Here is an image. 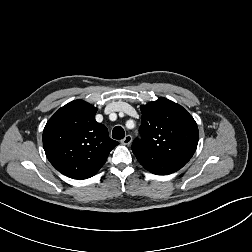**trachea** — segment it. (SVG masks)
<instances>
[{
    "mask_svg": "<svg viewBox=\"0 0 252 252\" xmlns=\"http://www.w3.org/2000/svg\"><path fill=\"white\" fill-rule=\"evenodd\" d=\"M125 136L124 129L121 126H116L112 131V137L116 140H121Z\"/></svg>",
    "mask_w": 252,
    "mask_h": 252,
    "instance_id": "trachea-1",
    "label": "trachea"
}]
</instances>
